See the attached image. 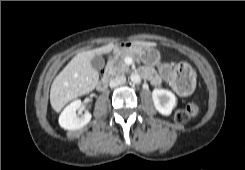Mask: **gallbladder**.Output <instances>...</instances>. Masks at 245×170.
I'll return each mask as SVG.
<instances>
[{"label": "gallbladder", "instance_id": "bac80fb5", "mask_svg": "<svg viewBox=\"0 0 245 170\" xmlns=\"http://www.w3.org/2000/svg\"><path fill=\"white\" fill-rule=\"evenodd\" d=\"M104 64H105V61L101 55H95L91 60V65L96 70H101Z\"/></svg>", "mask_w": 245, "mask_h": 170}]
</instances>
